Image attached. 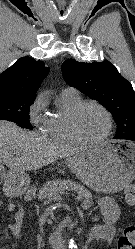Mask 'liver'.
Masks as SVG:
<instances>
[{"mask_svg":"<svg viewBox=\"0 0 135 249\" xmlns=\"http://www.w3.org/2000/svg\"><path fill=\"white\" fill-rule=\"evenodd\" d=\"M83 150L51 142L12 122L0 120V163L13 172L37 170Z\"/></svg>","mask_w":135,"mask_h":249,"instance_id":"obj_1","label":"liver"}]
</instances>
